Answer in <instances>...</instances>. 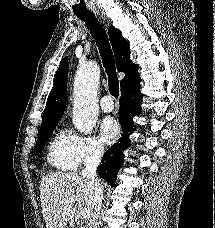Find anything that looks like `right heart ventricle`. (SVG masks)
Wrapping results in <instances>:
<instances>
[{
  "instance_id": "e07e8e85",
  "label": "right heart ventricle",
  "mask_w": 215,
  "mask_h": 228,
  "mask_svg": "<svg viewBox=\"0 0 215 228\" xmlns=\"http://www.w3.org/2000/svg\"><path fill=\"white\" fill-rule=\"evenodd\" d=\"M47 160L56 171H75L79 166L76 136L59 131L48 145Z\"/></svg>"
}]
</instances>
